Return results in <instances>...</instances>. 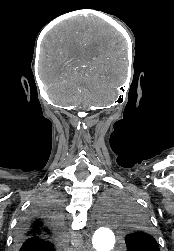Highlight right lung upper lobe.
<instances>
[{"label":"right lung upper lobe","mask_w":174,"mask_h":251,"mask_svg":"<svg viewBox=\"0 0 174 251\" xmlns=\"http://www.w3.org/2000/svg\"><path fill=\"white\" fill-rule=\"evenodd\" d=\"M23 225L22 237L32 241V247L26 251H54L58 248L60 220L49 211H33Z\"/></svg>","instance_id":"obj_1"}]
</instances>
